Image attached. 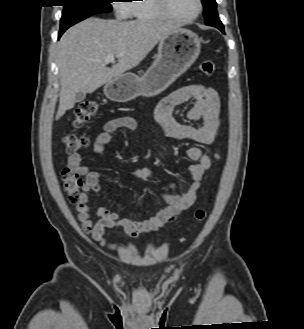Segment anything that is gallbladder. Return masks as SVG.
<instances>
[{"label":"gallbladder","instance_id":"1","mask_svg":"<svg viewBox=\"0 0 304 329\" xmlns=\"http://www.w3.org/2000/svg\"><path fill=\"white\" fill-rule=\"evenodd\" d=\"M86 93L83 91H79L75 95V102H81L85 99Z\"/></svg>","mask_w":304,"mask_h":329}]
</instances>
